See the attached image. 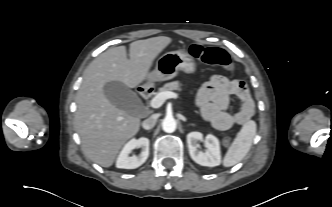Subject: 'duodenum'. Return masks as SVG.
<instances>
[{"label": "duodenum", "mask_w": 332, "mask_h": 207, "mask_svg": "<svg viewBox=\"0 0 332 207\" xmlns=\"http://www.w3.org/2000/svg\"><path fill=\"white\" fill-rule=\"evenodd\" d=\"M139 95L142 99H147L149 96V91L147 88L143 87L138 90Z\"/></svg>", "instance_id": "1"}]
</instances>
